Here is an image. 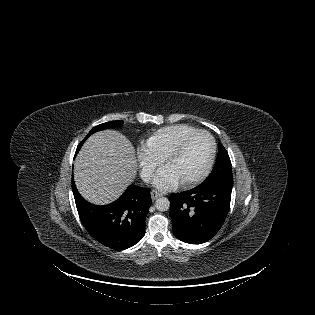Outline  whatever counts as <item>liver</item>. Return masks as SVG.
I'll return each mask as SVG.
<instances>
[{
	"mask_svg": "<svg viewBox=\"0 0 315 315\" xmlns=\"http://www.w3.org/2000/svg\"><path fill=\"white\" fill-rule=\"evenodd\" d=\"M136 172L133 145L114 130L91 135L74 164V179L80 194L100 205L117 199L133 181Z\"/></svg>",
	"mask_w": 315,
	"mask_h": 315,
	"instance_id": "6515ba94",
	"label": "liver"
}]
</instances>
